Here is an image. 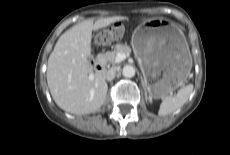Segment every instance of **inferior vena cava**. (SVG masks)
<instances>
[{"label": "inferior vena cava", "instance_id": "602c4592", "mask_svg": "<svg viewBox=\"0 0 230 155\" xmlns=\"http://www.w3.org/2000/svg\"><path fill=\"white\" fill-rule=\"evenodd\" d=\"M116 72H117L116 68H111L110 70H108L106 74V79L108 81L113 80L115 78Z\"/></svg>", "mask_w": 230, "mask_h": 155}]
</instances>
